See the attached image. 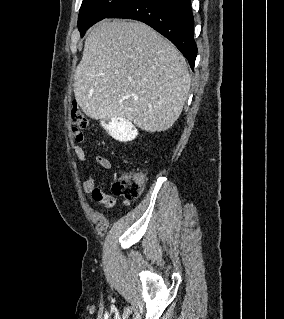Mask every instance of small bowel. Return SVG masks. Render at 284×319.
I'll return each instance as SVG.
<instances>
[{"label":"small bowel","instance_id":"c3829d8e","mask_svg":"<svg viewBox=\"0 0 284 319\" xmlns=\"http://www.w3.org/2000/svg\"><path fill=\"white\" fill-rule=\"evenodd\" d=\"M71 135H72V139L74 141L73 151H74L75 155L77 156V158L80 161H85L87 158L86 152L83 149V147L79 145V143H82L85 140L83 133L80 130L73 128ZM96 163L100 167H102L106 170H109L112 167L111 162L106 157H104L102 155H98L96 157ZM83 190L85 191V193H87L89 195L91 202L101 203L104 205V207L106 209H111L114 207L115 202H116L115 198L112 195L104 192L96 184L95 179L93 177H89L83 182Z\"/></svg>","mask_w":284,"mask_h":319}]
</instances>
